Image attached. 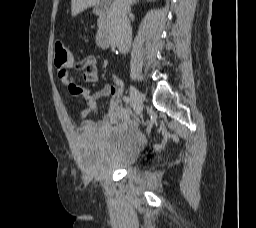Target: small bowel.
<instances>
[{
	"instance_id": "obj_1",
	"label": "small bowel",
	"mask_w": 256,
	"mask_h": 228,
	"mask_svg": "<svg viewBox=\"0 0 256 228\" xmlns=\"http://www.w3.org/2000/svg\"><path fill=\"white\" fill-rule=\"evenodd\" d=\"M58 78L68 93L73 97L81 98L86 108L79 114L80 131L82 133H106L110 128L128 118L127 111L121 104L120 88L116 85L107 84L98 92L92 93L90 89L81 85L71 74L73 69L83 70L82 81L94 83L99 79V69L97 59L93 55H87L82 58L70 56L64 65H56ZM111 96V107L107 114L99 121L87 120L86 117L96 110V101L100 98Z\"/></svg>"
}]
</instances>
